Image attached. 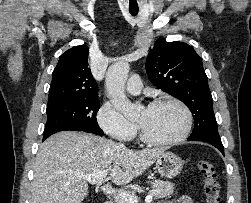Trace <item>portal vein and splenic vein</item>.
I'll return each instance as SVG.
<instances>
[{
	"label": "portal vein and splenic vein",
	"instance_id": "1",
	"mask_svg": "<svg viewBox=\"0 0 251 203\" xmlns=\"http://www.w3.org/2000/svg\"><path fill=\"white\" fill-rule=\"evenodd\" d=\"M79 178L87 180L89 183L96 185L101 188V190L109 195H114L116 199H123L127 203H138V198L130 194L127 191L116 190L108 184H103V179L107 176V170L101 169L91 174H77ZM153 196L151 194L147 195L145 198L146 203H151Z\"/></svg>",
	"mask_w": 251,
	"mask_h": 203
}]
</instances>
